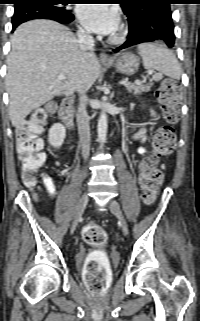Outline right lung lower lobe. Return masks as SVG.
Listing matches in <instances>:
<instances>
[{
	"label": "right lung lower lobe",
	"instance_id": "1",
	"mask_svg": "<svg viewBox=\"0 0 200 321\" xmlns=\"http://www.w3.org/2000/svg\"><path fill=\"white\" fill-rule=\"evenodd\" d=\"M32 19H50L61 24H69L74 20V15L70 10L58 11L43 4H27L17 6L12 17V32L21 23Z\"/></svg>",
	"mask_w": 200,
	"mask_h": 321
}]
</instances>
